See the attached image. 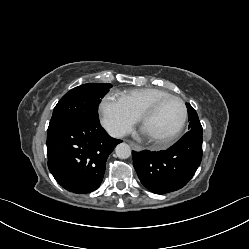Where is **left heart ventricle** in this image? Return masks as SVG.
<instances>
[{
  "instance_id": "obj_1",
  "label": "left heart ventricle",
  "mask_w": 249,
  "mask_h": 249,
  "mask_svg": "<svg viewBox=\"0 0 249 249\" xmlns=\"http://www.w3.org/2000/svg\"><path fill=\"white\" fill-rule=\"evenodd\" d=\"M182 117L181 103L175 99L167 100L144 122L142 131L148 138H165L178 128Z\"/></svg>"
}]
</instances>
